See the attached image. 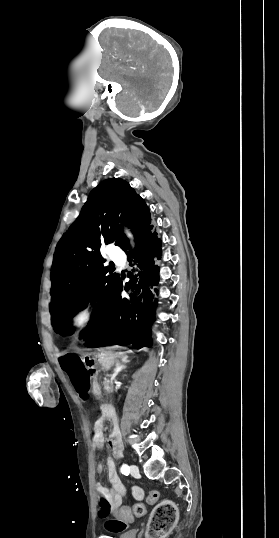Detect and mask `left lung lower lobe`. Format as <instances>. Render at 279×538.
Masks as SVG:
<instances>
[{
	"label": "left lung lower lobe",
	"mask_w": 279,
	"mask_h": 538,
	"mask_svg": "<svg viewBox=\"0 0 279 538\" xmlns=\"http://www.w3.org/2000/svg\"><path fill=\"white\" fill-rule=\"evenodd\" d=\"M136 242L133 258L138 261L141 269L138 274L140 278L131 277V280L125 284L126 291L134 288L136 290L130 295V300L122 299L123 284L121 282L118 285L114 296L115 308L107 321L95 334L81 335V338L86 340L87 347L117 344L133 345L140 349L152 345L150 331L157 300L152 302L154 296L150 287L158 285L159 282V266L156 262L160 260L162 241L158 238L153 225H150ZM126 253L130 257L132 252L126 251Z\"/></svg>",
	"instance_id": "obj_1"
}]
</instances>
